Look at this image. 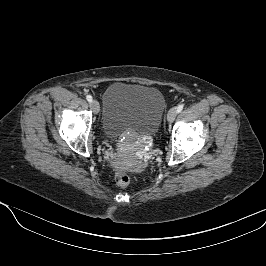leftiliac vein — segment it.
<instances>
[{
  "label": "left iliac vein",
  "instance_id": "1",
  "mask_svg": "<svg viewBox=\"0 0 266 266\" xmlns=\"http://www.w3.org/2000/svg\"><path fill=\"white\" fill-rule=\"evenodd\" d=\"M177 116V111L175 108H171L169 111H168V114H167V120L168 122H173L175 120Z\"/></svg>",
  "mask_w": 266,
  "mask_h": 266
}]
</instances>
